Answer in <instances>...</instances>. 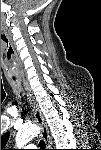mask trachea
I'll return each instance as SVG.
<instances>
[{"label":"trachea","instance_id":"1","mask_svg":"<svg viewBox=\"0 0 101 150\" xmlns=\"http://www.w3.org/2000/svg\"><path fill=\"white\" fill-rule=\"evenodd\" d=\"M39 147L41 148L40 150H45V142L43 140L39 142Z\"/></svg>","mask_w":101,"mask_h":150}]
</instances>
